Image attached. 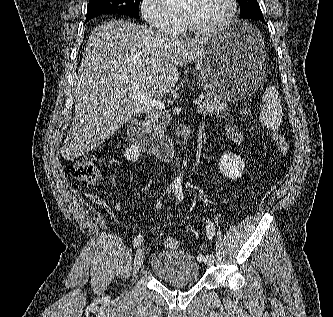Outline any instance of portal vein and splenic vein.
Listing matches in <instances>:
<instances>
[{
	"mask_svg": "<svg viewBox=\"0 0 333 317\" xmlns=\"http://www.w3.org/2000/svg\"><path fill=\"white\" fill-rule=\"evenodd\" d=\"M129 97L141 104L147 105L150 108H154L157 110H161L165 108L164 103L158 99H152L146 97L142 92L138 90L136 86L130 87V95ZM203 96L199 99H195L193 102L195 105H200L202 102Z\"/></svg>",
	"mask_w": 333,
	"mask_h": 317,
	"instance_id": "obj_1",
	"label": "portal vein and splenic vein"
}]
</instances>
